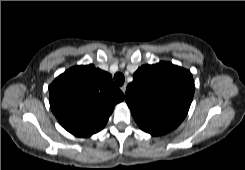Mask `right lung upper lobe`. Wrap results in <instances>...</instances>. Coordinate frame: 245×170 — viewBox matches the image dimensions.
<instances>
[{
	"label": "right lung upper lobe",
	"instance_id": "obj_1",
	"mask_svg": "<svg viewBox=\"0 0 245 170\" xmlns=\"http://www.w3.org/2000/svg\"><path fill=\"white\" fill-rule=\"evenodd\" d=\"M50 106L59 123L77 137L102 130L124 95L112 76L94 65L75 66L49 86Z\"/></svg>",
	"mask_w": 245,
	"mask_h": 170
}]
</instances>
